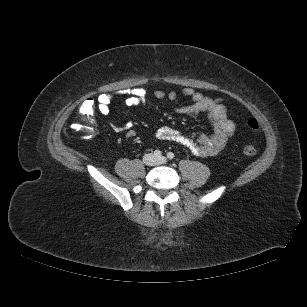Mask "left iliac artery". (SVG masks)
Listing matches in <instances>:
<instances>
[{
    "label": "left iliac artery",
    "instance_id": "1",
    "mask_svg": "<svg viewBox=\"0 0 307 307\" xmlns=\"http://www.w3.org/2000/svg\"><path fill=\"white\" fill-rule=\"evenodd\" d=\"M174 157H175V156H174V154H173L172 152H168V153H167V158H168V159L172 160V159H174Z\"/></svg>",
    "mask_w": 307,
    "mask_h": 307
}]
</instances>
